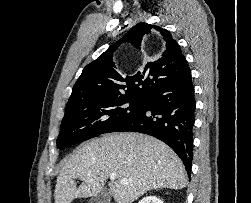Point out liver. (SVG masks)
I'll list each match as a JSON object with an SVG mask.
<instances>
[{
  "mask_svg": "<svg viewBox=\"0 0 251 203\" xmlns=\"http://www.w3.org/2000/svg\"><path fill=\"white\" fill-rule=\"evenodd\" d=\"M112 173L117 180L109 183V192L117 203H132L153 189H182L187 183L183 163L165 143L139 133H111L82 144L65 162L55 203L96 196ZM77 178L82 180L78 188Z\"/></svg>",
  "mask_w": 251,
  "mask_h": 203,
  "instance_id": "6515ba94",
  "label": "liver"
}]
</instances>
